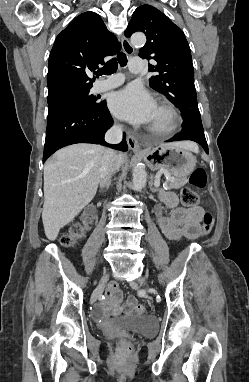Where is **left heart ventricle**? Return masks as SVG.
Returning a JSON list of instances; mask_svg holds the SVG:
<instances>
[{
  "label": "left heart ventricle",
  "mask_w": 249,
  "mask_h": 382,
  "mask_svg": "<svg viewBox=\"0 0 249 382\" xmlns=\"http://www.w3.org/2000/svg\"><path fill=\"white\" fill-rule=\"evenodd\" d=\"M167 121H168V116L166 112L156 107L154 114L148 123V126L159 129L164 127Z\"/></svg>",
  "instance_id": "obj_1"
}]
</instances>
